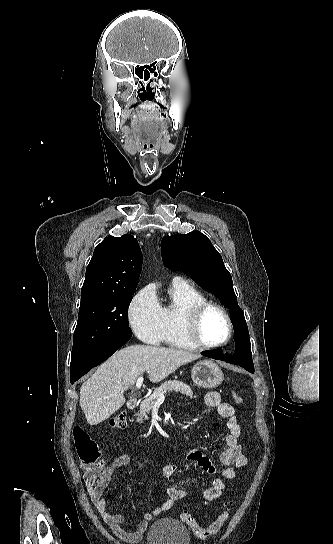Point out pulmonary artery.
<instances>
[{
  "label": "pulmonary artery",
  "instance_id": "1",
  "mask_svg": "<svg viewBox=\"0 0 333 544\" xmlns=\"http://www.w3.org/2000/svg\"><path fill=\"white\" fill-rule=\"evenodd\" d=\"M181 283H187V281L184 278L179 276L174 277L172 280V284H181Z\"/></svg>",
  "mask_w": 333,
  "mask_h": 544
}]
</instances>
